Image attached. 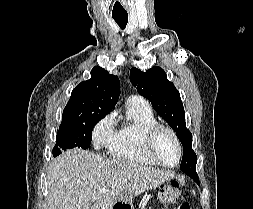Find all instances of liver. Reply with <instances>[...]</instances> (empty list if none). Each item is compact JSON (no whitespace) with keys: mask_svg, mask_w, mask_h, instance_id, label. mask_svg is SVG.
Returning <instances> with one entry per match:
<instances>
[{"mask_svg":"<svg viewBox=\"0 0 253 209\" xmlns=\"http://www.w3.org/2000/svg\"><path fill=\"white\" fill-rule=\"evenodd\" d=\"M174 178L170 171L71 149L53 159L47 172V209H111L146 189ZM104 188L106 192H100Z\"/></svg>","mask_w":253,"mask_h":209,"instance_id":"liver-1","label":"liver"}]
</instances>
